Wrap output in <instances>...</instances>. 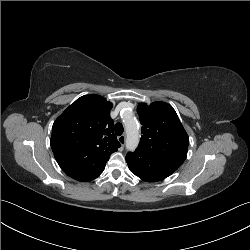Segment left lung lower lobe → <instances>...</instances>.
I'll use <instances>...</instances> for the list:
<instances>
[{
    "instance_id": "obj_1",
    "label": "left lung lower lobe",
    "mask_w": 250,
    "mask_h": 250,
    "mask_svg": "<svg viewBox=\"0 0 250 250\" xmlns=\"http://www.w3.org/2000/svg\"><path fill=\"white\" fill-rule=\"evenodd\" d=\"M132 155H134L132 160H127L128 167L133 174L144 181H159L173 173L155 166L153 162L145 156H138V154Z\"/></svg>"
}]
</instances>
